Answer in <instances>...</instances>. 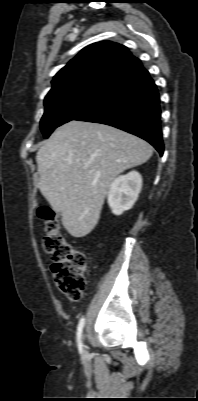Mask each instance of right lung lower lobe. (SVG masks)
Wrapping results in <instances>:
<instances>
[{"label": "right lung lower lobe", "instance_id": "98d812e1", "mask_svg": "<svg viewBox=\"0 0 198 401\" xmlns=\"http://www.w3.org/2000/svg\"><path fill=\"white\" fill-rule=\"evenodd\" d=\"M160 105L156 85L141 66L108 88L92 109L75 120L102 123L134 134L163 154Z\"/></svg>", "mask_w": 198, "mask_h": 401}]
</instances>
